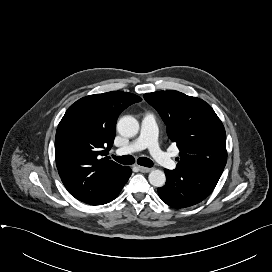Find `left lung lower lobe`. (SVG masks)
<instances>
[{"instance_id": "1", "label": "left lung lower lobe", "mask_w": 272, "mask_h": 272, "mask_svg": "<svg viewBox=\"0 0 272 272\" xmlns=\"http://www.w3.org/2000/svg\"><path fill=\"white\" fill-rule=\"evenodd\" d=\"M164 171L167 181L158 188V194L163 202L175 208L189 207L203 201L221 176L191 169Z\"/></svg>"}]
</instances>
